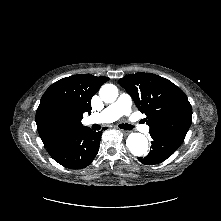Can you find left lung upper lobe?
I'll return each instance as SVG.
<instances>
[{"label":"left lung upper lobe","instance_id":"5c2ea615","mask_svg":"<svg viewBox=\"0 0 221 221\" xmlns=\"http://www.w3.org/2000/svg\"><path fill=\"white\" fill-rule=\"evenodd\" d=\"M137 108L145 113L150 133H159L180 143L192 122V107L185 93L168 79L152 73L129 74L118 81Z\"/></svg>","mask_w":221,"mask_h":221}]
</instances>
